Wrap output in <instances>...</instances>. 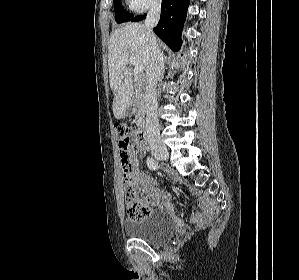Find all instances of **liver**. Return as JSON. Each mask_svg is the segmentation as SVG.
I'll use <instances>...</instances> for the list:
<instances>
[{"instance_id":"liver-1","label":"liver","mask_w":299,"mask_h":280,"mask_svg":"<svg viewBox=\"0 0 299 280\" xmlns=\"http://www.w3.org/2000/svg\"><path fill=\"white\" fill-rule=\"evenodd\" d=\"M130 56L137 65L147 71L150 61V41L146 27L141 23H129L116 29L108 43V67L110 87L114 93L113 114L121 119L132 105L133 81L128 65Z\"/></svg>"}]
</instances>
